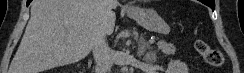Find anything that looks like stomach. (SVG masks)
<instances>
[{
	"mask_svg": "<svg viewBox=\"0 0 244 73\" xmlns=\"http://www.w3.org/2000/svg\"><path fill=\"white\" fill-rule=\"evenodd\" d=\"M127 14L150 32L161 35H166L170 32L169 24L154 9L134 8L129 10Z\"/></svg>",
	"mask_w": 244,
	"mask_h": 73,
	"instance_id": "0dacf381",
	"label": "stomach"
}]
</instances>
